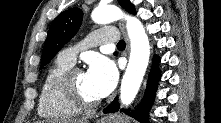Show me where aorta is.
<instances>
[{
	"label": "aorta",
	"mask_w": 221,
	"mask_h": 123,
	"mask_svg": "<svg viewBox=\"0 0 221 123\" xmlns=\"http://www.w3.org/2000/svg\"><path fill=\"white\" fill-rule=\"evenodd\" d=\"M119 19L126 21L130 39V57L123 75L120 99L123 105L129 106L136 97L148 66L150 45L148 36L140 20L126 15L113 5L99 6L92 12V20L98 24H107Z\"/></svg>",
	"instance_id": "1"
}]
</instances>
